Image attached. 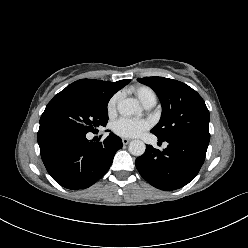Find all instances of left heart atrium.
Instances as JSON below:
<instances>
[{"instance_id": "1", "label": "left heart atrium", "mask_w": 248, "mask_h": 248, "mask_svg": "<svg viewBox=\"0 0 248 248\" xmlns=\"http://www.w3.org/2000/svg\"><path fill=\"white\" fill-rule=\"evenodd\" d=\"M149 128L144 119L120 118L113 124L114 132L122 137H137Z\"/></svg>"}]
</instances>
